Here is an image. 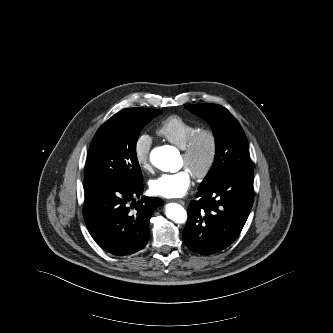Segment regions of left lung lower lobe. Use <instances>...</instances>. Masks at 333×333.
Returning a JSON list of instances; mask_svg holds the SVG:
<instances>
[{"label":"left lung lower lobe","instance_id":"left-lung-lower-lobe-1","mask_svg":"<svg viewBox=\"0 0 333 333\" xmlns=\"http://www.w3.org/2000/svg\"><path fill=\"white\" fill-rule=\"evenodd\" d=\"M253 180V170H244L199 189L198 200L191 201L188 207L183 230V240L189 249L213 254L234 242L252 208Z\"/></svg>","mask_w":333,"mask_h":333}]
</instances>
